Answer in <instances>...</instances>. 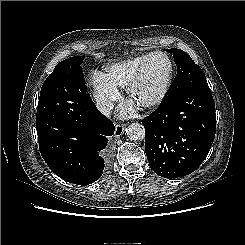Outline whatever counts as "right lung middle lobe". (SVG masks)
<instances>
[{"label": "right lung middle lobe", "instance_id": "obj_1", "mask_svg": "<svg viewBox=\"0 0 245 245\" xmlns=\"http://www.w3.org/2000/svg\"><path fill=\"white\" fill-rule=\"evenodd\" d=\"M85 56L68 58L56 65L45 80L39 97L36 119L46 117L85 118L94 102L87 94L80 67Z\"/></svg>", "mask_w": 245, "mask_h": 245}]
</instances>
